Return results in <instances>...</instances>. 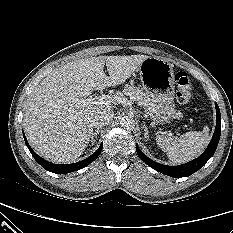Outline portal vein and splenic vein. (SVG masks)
Returning a JSON list of instances; mask_svg holds the SVG:
<instances>
[{"label":"portal vein and splenic vein","mask_w":233,"mask_h":233,"mask_svg":"<svg viewBox=\"0 0 233 233\" xmlns=\"http://www.w3.org/2000/svg\"><path fill=\"white\" fill-rule=\"evenodd\" d=\"M113 98L109 95H100L96 98L89 97L87 99H82L81 103L84 105L86 104H92V105H110L113 103Z\"/></svg>","instance_id":"obj_1"}]
</instances>
